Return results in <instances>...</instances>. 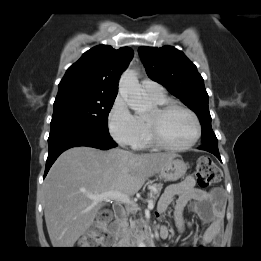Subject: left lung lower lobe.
Instances as JSON below:
<instances>
[{
	"label": "left lung lower lobe",
	"mask_w": 261,
	"mask_h": 261,
	"mask_svg": "<svg viewBox=\"0 0 261 261\" xmlns=\"http://www.w3.org/2000/svg\"><path fill=\"white\" fill-rule=\"evenodd\" d=\"M198 149L205 150L214 154L221 161V157L218 150V143H204Z\"/></svg>",
	"instance_id": "1"
}]
</instances>
